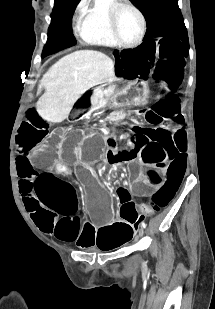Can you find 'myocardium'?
<instances>
[{"label":"myocardium","mask_w":215,"mask_h":309,"mask_svg":"<svg viewBox=\"0 0 215 309\" xmlns=\"http://www.w3.org/2000/svg\"><path fill=\"white\" fill-rule=\"evenodd\" d=\"M119 10H128L130 11L136 19V24H137V31H136V35L133 38V40H131L130 42L127 43H122L125 40L124 39H120L119 38V32L118 30V25H119V20L117 19V15H115L114 13L119 11ZM107 16L110 17L111 21V36L114 38V43L112 44L115 47L118 48H135L136 46H138L143 37H144V32H145V23H144V19L143 16L141 14V12L135 8L132 5H118L115 6L112 9H107L106 10ZM119 38V39H118Z\"/></svg>","instance_id":"myocardium-1"}]
</instances>
